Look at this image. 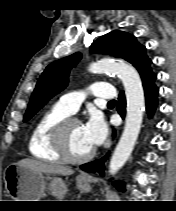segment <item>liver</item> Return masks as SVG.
Returning a JSON list of instances; mask_svg holds the SVG:
<instances>
[{
	"label": "liver",
	"mask_w": 176,
	"mask_h": 211,
	"mask_svg": "<svg viewBox=\"0 0 176 211\" xmlns=\"http://www.w3.org/2000/svg\"><path fill=\"white\" fill-rule=\"evenodd\" d=\"M17 164L37 172L48 173V174H59L63 176H68L74 173V171L71 168L66 166L51 164L28 158L20 160Z\"/></svg>",
	"instance_id": "obj_1"
}]
</instances>
